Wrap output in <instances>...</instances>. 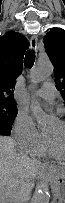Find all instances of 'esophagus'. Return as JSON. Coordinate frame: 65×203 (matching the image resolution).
<instances>
[{
  "instance_id": "esophagus-1",
  "label": "esophagus",
  "mask_w": 65,
  "mask_h": 203,
  "mask_svg": "<svg viewBox=\"0 0 65 203\" xmlns=\"http://www.w3.org/2000/svg\"><path fill=\"white\" fill-rule=\"evenodd\" d=\"M37 43H38V39L37 36H32L30 38V46L33 50H37Z\"/></svg>"
}]
</instances>
